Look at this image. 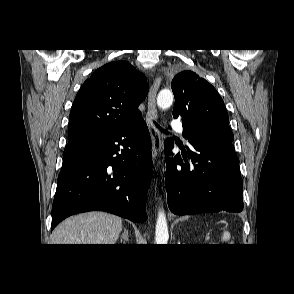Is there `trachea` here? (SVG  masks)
<instances>
[{
	"instance_id": "obj_1",
	"label": "trachea",
	"mask_w": 294,
	"mask_h": 294,
	"mask_svg": "<svg viewBox=\"0 0 294 294\" xmlns=\"http://www.w3.org/2000/svg\"><path fill=\"white\" fill-rule=\"evenodd\" d=\"M156 124V123H155ZM156 126L158 127V128H160L157 124H156ZM161 129V128H160Z\"/></svg>"
}]
</instances>
